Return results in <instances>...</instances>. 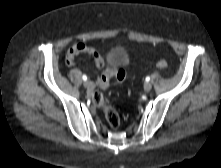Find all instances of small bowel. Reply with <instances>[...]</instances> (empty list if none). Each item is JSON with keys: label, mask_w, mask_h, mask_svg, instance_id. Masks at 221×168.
Here are the masks:
<instances>
[{"label": "small bowel", "mask_w": 221, "mask_h": 168, "mask_svg": "<svg viewBox=\"0 0 221 168\" xmlns=\"http://www.w3.org/2000/svg\"><path fill=\"white\" fill-rule=\"evenodd\" d=\"M88 54L94 59L95 66L101 68L106 64L105 59L100 54V52L94 47H90L82 42L74 44L67 52L66 63L68 65H74L75 57L78 54ZM112 78L116 82H121L125 78V71L122 69L117 70L112 65L106 64V69L98 75L95 83L98 87L106 89L110 86Z\"/></svg>", "instance_id": "obj_1"}]
</instances>
